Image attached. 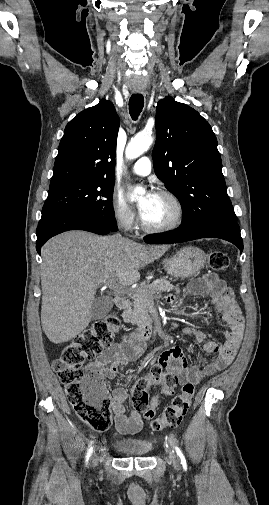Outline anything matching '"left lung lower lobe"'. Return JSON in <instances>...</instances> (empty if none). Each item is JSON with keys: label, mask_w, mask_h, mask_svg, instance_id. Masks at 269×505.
<instances>
[{"label": "left lung lower lobe", "mask_w": 269, "mask_h": 505, "mask_svg": "<svg viewBox=\"0 0 269 505\" xmlns=\"http://www.w3.org/2000/svg\"><path fill=\"white\" fill-rule=\"evenodd\" d=\"M220 238L236 245L240 253L243 251V241L240 235L237 220L221 218L213 220L203 226L194 229L177 228L167 234L149 236L144 239L149 244L179 243L199 238Z\"/></svg>", "instance_id": "left-lung-lower-lobe-1"}]
</instances>
